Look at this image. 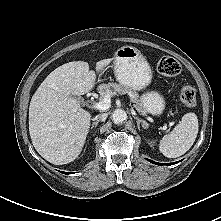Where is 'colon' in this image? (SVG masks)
I'll list each match as a JSON object with an SVG mask.
<instances>
[{
  "mask_svg": "<svg viewBox=\"0 0 221 221\" xmlns=\"http://www.w3.org/2000/svg\"><path fill=\"white\" fill-rule=\"evenodd\" d=\"M157 70L160 74L168 77L176 76L181 71L179 62L173 57H161L157 63ZM182 103L187 107H194L197 103L196 90L188 85H184L180 91Z\"/></svg>",
  "mask_w": 221,
  "mask_h": 221,
  "instance_id": "obj_1",
  "label": "colon"
}]
</instances>
